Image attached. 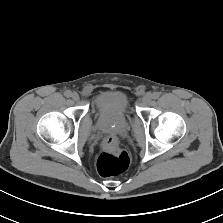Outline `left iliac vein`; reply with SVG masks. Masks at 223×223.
<instances>
[{
  "label": "left iliac vein",
  "instance_id": "obj_1",
  "mask_svg": "<svg viewBox=\"0 0 223 223\" xmlns=\"http://www.w3.org/2000/svg\"><path fill=\"white\" fill-rule=\"evenodd\" d=\"M151 100H152V94L147 93L143 96L141 102H142V104L147 105Z\"/></svg>",
  "mask_w": 223,
  "mask_h": 223
}]
</instances>
